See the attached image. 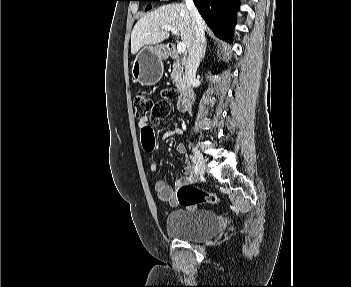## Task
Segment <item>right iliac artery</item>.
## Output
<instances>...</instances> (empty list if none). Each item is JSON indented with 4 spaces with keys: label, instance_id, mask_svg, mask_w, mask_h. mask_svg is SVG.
Segmentation results:
<instances>
[{
    "label": "right iliac artery",
    "instance_id": "1",
    "mask_svg": "<svg viewBox=\"0 0 351 287\" xmlns=\"http://www.w3.org/2000/svg\"><path fill=\"white\" fill-rule=\"evenodd\" d=\"M190 159L194 162V172L196 175H198V172H199V169L197 167V164H196V160L194 157L190 156ZM196 164V165H195Z\"/></svg>",
    "mask_w": 351,
    "mask_h": 287
}]
</instances>
